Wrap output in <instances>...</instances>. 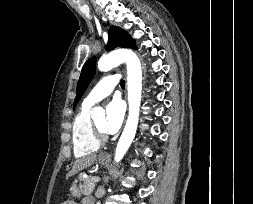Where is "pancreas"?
<instances>
[{
  "instance_id": "obj_1",
  "label": "pancreas",
  "mask_w": 253,
  "mask_h": 204,
  "mask_svg": "<svg viewBox=\"0 0 253 204\" xmlns=\"http://www.w3.org/2000/svg\"><path fill=\"white\" fill-rule=\"evenodd\" d=\"M91 177L92 176L88 178L80 177V180L83 182V185H81V187L84 195L92 193L95 189L96 184L91 180Z\"/></svg>"
}]
</instances>
